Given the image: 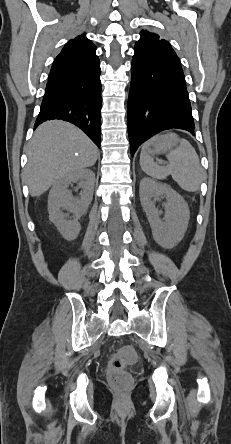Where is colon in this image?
<instances>
[{"instance_id":"colon-1","label":"colon","mask_w":231,"mask_h":444,"mask_svg":"<svg viewBox=\"0 0 231 444\" xmlns=\"http://www.w3.org/2000/svg\"><path fill=\"white\" fill-rule=\"evenodd\" d=\"M135 359V350L129 345L120 347L112 356L108 367V379L116 390L124 392L132 385V378L126 367Z\"/></svg>"}]
</instances>
